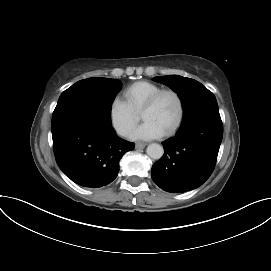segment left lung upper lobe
Returning a JSON list of instances; mask_svg holds the SVG:
<instances>
[{"label":"left lung upper lobe","mask_w":271,"mask_h":271,"mask_svg":"<svg viewBox=\"0 0 271 271\" xmlns=\"http://www.w3.org/2000/svg\"><path fill=\"white\" fill-rule=\"evenodd\" d=\"M153 80L178 94L183 106V123L199 115L219 113L214 94L198 81L179 75L158 76Z\"/></svg>","instance_id":"5c2ea615"}]
</instances>
